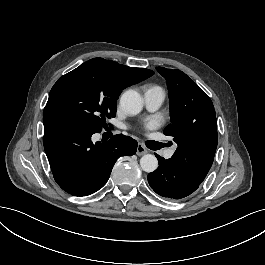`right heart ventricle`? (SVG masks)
<instances>
[{
  "mask_svg": "<svg viewBox=\"0 0 265 265\" xmlns=\"http://www.w3.org/2000/svg\"><path fill=\"white\" fill-rule=\"evenodd\" d=\"M156 89H159L160 91H161V88L160 87H158V86H154Z\"/></svg>",
  "mask_w": 265,
  "mask_h": 265,
  "instance_id": "right-heart-ventricle-1",
  "label": "right heart ventricle"
}]
</instances>
